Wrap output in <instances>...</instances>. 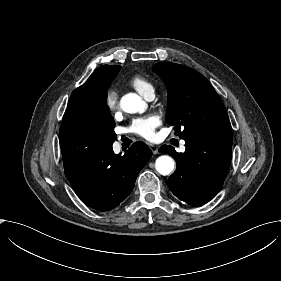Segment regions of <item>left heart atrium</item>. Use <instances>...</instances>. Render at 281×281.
<instances>
[{
    "label": "left heart atrium",
    "mask_w": 281,
    "mask_h": 281,
    "mask_svg": "<svg viewBox=\"0 0 281 281\" xmlns=\"http://www.w3.org/2000/svg\"><path fill=\"white\" fill-rule=\"evenodd\" d=\"M161 118L157 114H149L133 120L129 126L130 132L147 140H155L156 128L161 125Z\"/></svg>",
    "instance_id": "1"
}]
</instances>
